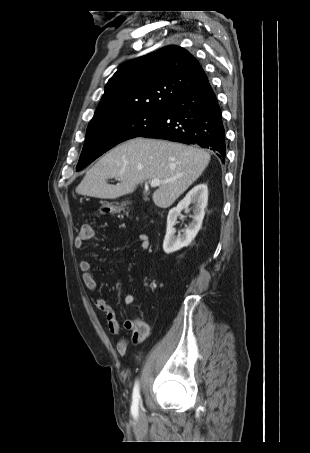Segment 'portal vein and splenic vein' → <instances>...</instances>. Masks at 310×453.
I'll return each instance as SVG.
<instances>
[{"label":"portal vein and splenic vein","instance_id":"1","mask_svg":"<svg viewBox=\"0 0 310 453\" xmlns=\"http://www.w3.org/2000/svg\"><path fill=\"white\" fill-rule=\"evenodd\" d=\"M170 180H160L159 178L152 179L150 182L151 187H157L162 183H168Z\"/></svg>","mask_w":310,"mask_h":453}]
</instances>
